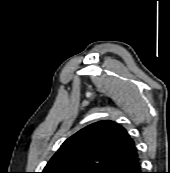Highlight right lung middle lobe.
I'll list each match as a JSON object with an SVG mask.
<instances>
[{
  "label": "right lung middle lobe",
  "instance_id": "1",
  "mask_svg": "<svg viewBox=\"0 0 170 173\" xmlns=\"http://www.w3.org/2000/svg\"><path fill=\"white\" fill-rule=\"evenodd\" d=\"M62 173H82V172L81 171L69 170V171H63Z\"/></svg>",
  "mask_w": 170,
  "mask_h": 173
}]
</instances>
